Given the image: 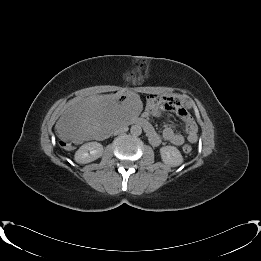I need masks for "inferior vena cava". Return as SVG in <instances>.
<instances>
[{"instance_id":"inferior-vena-cava-1","label":"inferior vena cava","mask_w":261,"mask_h":261,"mask_svg":"<svg viewBox=\"0 0 261 261\" xmlns=\"http://www.w3.org/2000/svg\"><path fill=\"white\" fill-rule=\"evenodd\" d=\"M127 130H128L127 125H120L117 129L114 130V134L123 133L126 132Z\"/></svg>"}]
</instances>
